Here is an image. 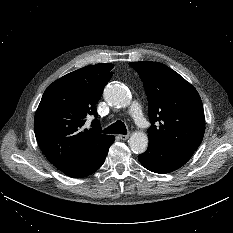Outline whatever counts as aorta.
<instances>
[{
    "label": "aorta",
    "instance_id": "aorta-1",
    "mask_svg": "<svg viewBox=\"0 0 233 233\" xmlns=\"http://www.w3.org/2000/svg\"><path fill=\"white\" fill-rule=\"evenodd\" d=\"M104 99L112 106L127 107L130 97L124 86L117 83H109L104 89ZM130 149L136 153H144L148 147V136L144 132L136 131L129 139Z\"/></svg>",
    "mask_w": 233,
    "mask_h": 233
}]
</instances>
